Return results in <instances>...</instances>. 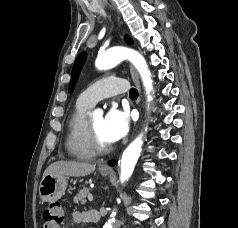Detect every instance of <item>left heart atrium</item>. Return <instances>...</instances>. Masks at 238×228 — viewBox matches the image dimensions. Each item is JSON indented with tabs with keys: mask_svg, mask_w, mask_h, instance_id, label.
Masks as SVG:
<instances>
[{
	"mask_svg": "<svg viewBox=\"0 0 238 228\" xmlns=\"http://www.w3.org/2000/svg\"><path fill=\"white\" fill-rule=\"evenodd\" d=\"M130 119L126 111L111 108L103 118L104 136L110 142H117L129 131Z\"/></svg>",
	"mask_w": 238,
	"mask_h": 228,
	"instance_id": "1",
	"label": "left heart atrium"
}]
</instances>
